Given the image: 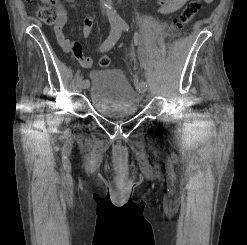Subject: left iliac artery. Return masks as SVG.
I'll return each mask as SVG.
<instances>
[{
	"mask_svg": "<svg viewBox=\"0 0 247 245\" xmlns=\"http://www.w3.org/2000/svg\"><path fill=\"white\" fill-rule=\"evenodd\" d=\"M120 27H121V29L124 30V31H128V29H129L128 24L125 23V22L121 23V24H120ZM139 84L147 86V84H146L144 81H141Z\"/></svg>",
	"mask_w": 247,
	"mask_h": 245,
	"instance_id": "44dca946",
	"label": "left iliac artery"
}]
</instances>
